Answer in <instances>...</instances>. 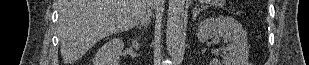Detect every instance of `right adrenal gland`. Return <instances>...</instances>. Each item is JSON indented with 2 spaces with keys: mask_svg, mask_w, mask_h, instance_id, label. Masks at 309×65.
<instances>
[{
  "mask_svg": "<svg viewBox=\"0 0 309 65\" xmlns=\"http://www.w3.org/2000/svg\"><path fill=\"white\" fill-rule=\"evenodd\" d=\"M139 29L142 30L141 26H139Z\"/></svg>",
  "mask_w": 309,
  "mask_h": 65,
  "instance_id": "obj_1",
  "label": "right adrenal gland"
}]
</instances>
